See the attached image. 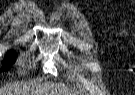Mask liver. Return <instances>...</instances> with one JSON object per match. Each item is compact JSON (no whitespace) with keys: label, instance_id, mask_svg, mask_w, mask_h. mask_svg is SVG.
Listing matches in <instances>:
<instances>
[{"label":"liver","instance_id":"1","mask_svg":"<svg viewBox=\"0 0 135 95\" xmlns=\"http://www.w3.org/2000/svg\"><path fill=\"white\" fill-rule=\"evenodd\" d=\"M41 93H51L50 95H71L70 90L65 86L47 82L41 85H27L13 82L1 86L0 95H48Z\"/></svg>","mask_w":135,"mask_h":95}]
</instances>
